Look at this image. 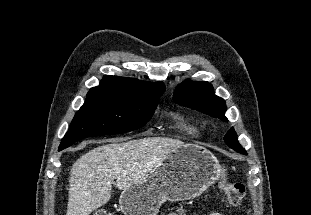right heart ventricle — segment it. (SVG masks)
<instances>
[{
    "label": "right heart ventricle",
    "mask_w": 311,
    "mask_h": 215,
    "mask_svg": "<svg viewBox=\"0 0 311 215\" xmlns=\"http://www.w3.org/2000/svg\"><path fill=\"white\" fill-rule=\"evenodd\" d=\"M176 123H177L178 128L182 130L183 132H185L186 134H189V135L198 134L197 128L194 125L185 121L182 117H178L176 120Z\"/></svg>",
    "instance_id": "obj_1"
}]
</instances>
